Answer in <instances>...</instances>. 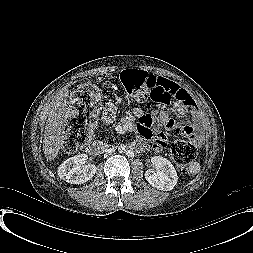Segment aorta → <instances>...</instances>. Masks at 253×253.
I'll list each match as a JSON object with an SVG mask.
<instances>
[{"mask_svg": "<svg viewBox=\"0 0 253 253\" xmlns=\"http://www.w3.org/2000/svg\"><path fill=\"white\" fill-rule=\"evenodd\" d=\"M115 149H116V151H117L118 153L123 154V153L126 152L127 147H126L125 144L122 143V144L117 145Z\"/></svg>", "mask_w": 253, "mask_h": 253, "instance_id": "aorta-1", "label": "aorta"}]
</instances>
